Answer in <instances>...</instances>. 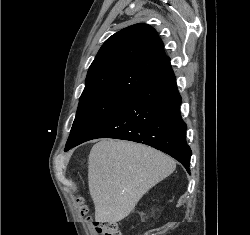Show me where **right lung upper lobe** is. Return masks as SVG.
Here are the masks:
<instances>
[{
    "mask_svg": "<svg viewBox=\"0 0 250 235\" xmlns=\"http://www.w3.org/2000/svg\"><path fill=\"white\" fill-rule=\"evenodd\" d=\"M170 67V58L156 30L135 24L112 35L102 45L86 77L80 97L131 94Z\"/></svg>",
    "mask_w": 250,
    "mask_h": 235,
    "instance_id": "right-lung-upper-lobe-1",
    "label": "right lung upper lobe"
}]
</instances>
